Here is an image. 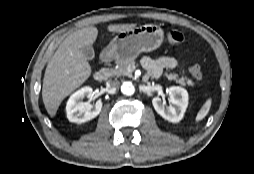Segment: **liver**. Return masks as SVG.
<instances>
[{"mask_svg":"<svg viewBox=\"0 0 254 174\" xmlns=\"http://www.w3.org/2000/svg\"><path fill=\"white\" fill-rule=\"evenodd\" d=\"M135 26L136 24H112L107 30L120 33ZM97 36L98 29L94 26L69 34L48 62L43 79L42 98L51 117L56 115L61 102L90 77L91 66L81 48L91 46Z\"/></svg>","mask_w":254,"mask_h":174,"instance_id":"obj_1","label":"liver"}]
</instances>
